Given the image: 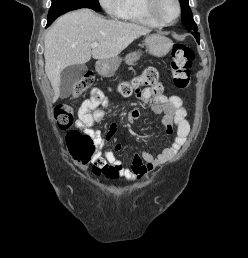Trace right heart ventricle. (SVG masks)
<instances>
[{
  "instance_id": "1",
  "label": "right heart ventricle",
  "mask_w": 248,
  "mask_h": 258,
  "mask_svg": "<svg viewBox=\"0 0 248 258\" xmlns=\"http://www.w3.org/2000/svg\"><path fill=\"white\" fill-rule=\"evenodd\" d=\"M121 19L149 27H158L148 15L146 0H124Z\"/></svg>"
}]
</instances>
